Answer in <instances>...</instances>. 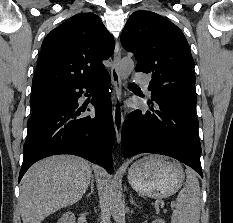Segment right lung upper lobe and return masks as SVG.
<instances>
[{
	"label": "right lung upper lobe",
	"instance_id": "right-lung-upper-lobe-1",
	"mask_svg": "<svg viewBox=\"0 0 233 223\" xmlns=\"http://www.w3.org/2000/svg\"><path fill=\"white\" fill-rule=\"evenodd\" d=\"M113 50V36L97 15H74L44 39L32 92L96 80Z\"/></svg>",
	"mask_w": 233,
	"mask_h": 223
}]
</instances>
